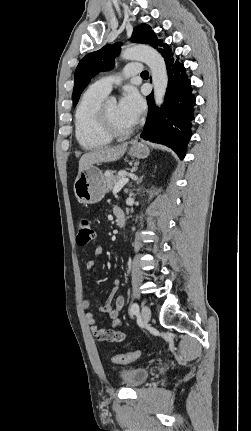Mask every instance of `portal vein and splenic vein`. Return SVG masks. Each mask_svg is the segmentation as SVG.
Segmentation results:
<instances>
[{
	"label": "portal vein and splenic vein",
	"instance_id": "obj_1",
	"mask_svg": "<svg viewBox=\"0 0 251 431\" xmlns=\"http://www.w3.org/2000/svg\"><path fill=\"white\" fill-rule=\"evenodd\" d=\"M128 181H129V178H126V177H125V178L120 179V180L115 184V186H114V188H113V194H117V193L122 189V187L128 183Z\"/></svg>",
	"mask_w": 251,
	"mask_h": 431
}]
</instances>
